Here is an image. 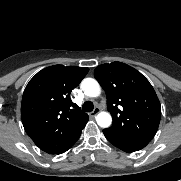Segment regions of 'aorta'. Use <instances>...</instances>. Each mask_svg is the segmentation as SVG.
Returning a JSON list of instances; mask_svg holds the SVG:
<instances>
[{
  "mask_svg": "<svg viewBox=\"0 0 181 181\" xmlns=\"http://www.w3.org/2000/svg\"><path fill=\"white\" fill-rule=\"evenodd\" d=\"M81 88L88 97H97L100 95V85L95 79H84L81 83ZM96 121L101 127L106 128L111 125L112 117L108 112L103 111L96 116Z\"/></svg>",
  "mask_w": 181,
  "mask_h": 181,
  "instance_id": "obj_1",
  "label": "aorta"
}]
</instances>
